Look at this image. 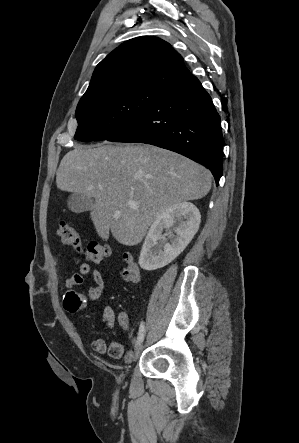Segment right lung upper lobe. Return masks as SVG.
Segmentation results:
<instances>
[{
    "mask_svg": "<svg viewBox=\"0 0 299 443\" xmlns=\"http://www.w3.org/2000/svg\"><path fill=\"white\" fill-rule=\"evenodd\" d=\"M191 75L169 43L153 36L137 37L121 44L96 66L81 99L119 88L166 90Z\"/></svg>",
    "mask_w": 299,
    "mask_h": 443,
    "instance_id": "right-lung-upper-lobe-1",
    "label": "right lung upper lobe"
}]
</instances>
